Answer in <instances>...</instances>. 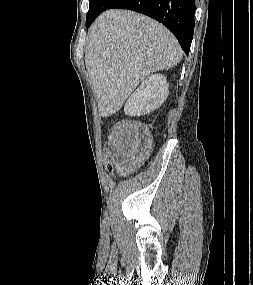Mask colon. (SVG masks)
<instances>
[{
  "instance_id": "colon-1",
  "label": "colon",
  "mask_w": 253,
  "mask_h": 285,
  "mask_svg": "<svg viewBox=\"0 0 253 285\" xmlns=\"http://www.w3.org/2000/svg\"><path fill=\"white\" fill-rule=\"evenodd\" d=\"M111 155V150L110 149H103V158H106L104 161L105 167L103 168L104 172H112L113 168H112V164L113 161L110 158Z\"/></svg>"
}]
</instances>
